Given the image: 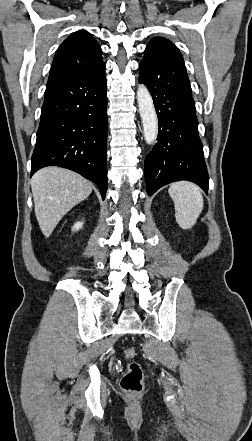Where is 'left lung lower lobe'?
Listing matches in <instances>:
<instances>
[{
	"instance_id": "left-lung-lower-lobe-1",
	"label": "left lung lower lobe",
	"mask_w": 252,
	"mask_h": 441,
	"mask_svg": "<svg viewBox=\"0 0 252 441\" xmlns=\"http://www.w3.org/2000/svg\"><path fill=\"white\" fill-rule=\"evenodd\" d=\"M139 69V82L149 89L159 120L158 141L145 159L148 195L180 180L192 181L207 193L209 176L195 103L179 49L170 41L146 48Z\"/></svg>"
}]
</instances>
